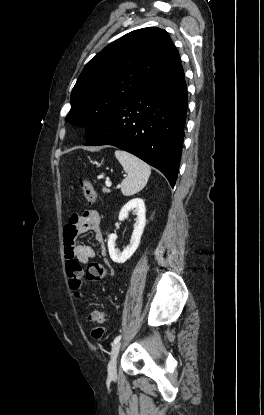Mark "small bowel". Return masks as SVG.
Masks as SVG:
<instances>
[{"instance_id": "obj_1", "label": "small bowel", "mask_w": 264, "mask_h": 415, "mask_svg": "<svg viewBox=\"0 0 264 415\" xmlns=\"http://www.w3.org/2000/svg\"><path fill=\"white\" fill-rule=\"evenodd\" d=\"M99 220V213L95 210L87 211L83 216H70L69 224L64 230V257L67 262L76 261L79 264L84 265L95 257V250L92 246L77 242V236L85 234L88 231L94 232L95 240L99 245L100 254L102 256L106 255L107 249L100 229Z\"/></svg>"}]
</instances>
